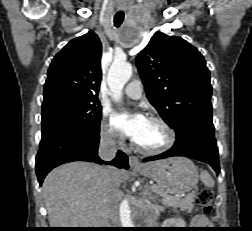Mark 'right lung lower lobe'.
Wrapping results in <instances>:
<instances>
[{"instance_id":"98d812e1","label":"right lung lower lobe","mask_w":252,"mask_h":231,"mask_svg":"<svg viewBox=\"0 0 252 231\" xmlns=\"http://www.w3.org/2000/svg\"><path fill=\"white\" fill-rule=\"evenodd\" d=\"M99 138V133L73 129H61L43 136L36 156V173L40 185L50 170L63 163L89 161L109 164L98 157ZM111 164L128 169V157L118 151Z\"/></svg>"}]
</instances>
